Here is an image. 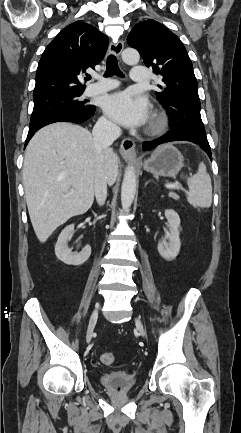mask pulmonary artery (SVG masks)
<instances>
[{"label":"pulmonary artery","instance_id":"pulmonary-artery-1","mask_svg":"<svg viewBox=\"0 0 241 433\" xmlns=\"http://www.w3.org/2000/svg\"><path fill=\"white\" fill-rule=\"evenodd\" d=\"M130 79L132 83L143 84L149 80L148 69L144 66H134L131 71ZM116 86L115 81L104 80L88 86L84 94L87 96L96 95L107 90H110Z\"/></svg>","mask_w":241,"mask_h":433}]
</instances>
